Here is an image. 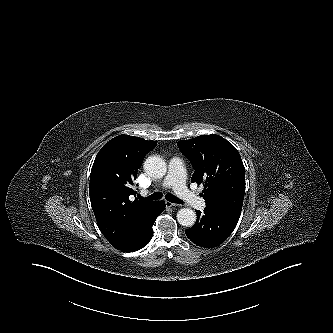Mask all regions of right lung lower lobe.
Here are the masks:
<instances>
[{"label":"right lung lower lobe","mask_w":333,"mask_h":333,"mask_svg":"<svg viewBox=\"0 0 333 333\" xmlns=\"http://www.w3.org/2000/svg\"><path fill=\"white\" fill-rule=\"evenodd\" d=\"M165 209V203L163 201H158L153 215L139 227L132 240L122 247L121 251L123 252H134L142 247H144L151 240L153 235L152 226L155 222L157 216L162 213Z\"/></svg>","instance_id":"obj_1"}]
</instances>
